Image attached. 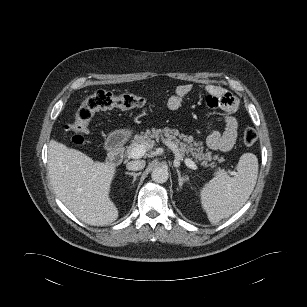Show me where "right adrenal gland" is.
<instances>
[{
	"label": "right adrenal gland",
	"mask_w": 307,
	"mask_h": 307,
	"mask_svg": "<svg viewBox=\"0 0 307 307\" xmlns=\"http://www.w3.org/2000/svg\"><path fill=\"white\" fill-rule=\"evenodd\" d=\"M126 175H130V176H133V183L136 181L137 179V176H139L141 174V172L139 173H135V172H126L125 173Z\"/></svg>",
	"instance_id": "1"
}]
</instances>
